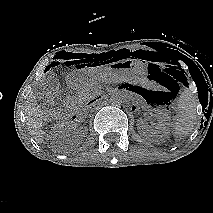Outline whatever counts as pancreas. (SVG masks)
<instances>
[{"instance_id":"pancreas-1","label":"pancreas","mask_w":213,"mask_h":213,"mask_svg":"<svg viewBox=\"0 0 213 213\" xmlns=\"http://www.w3.org/2000/svg\"><path fill=\"white\" fill-rule=\"evenodd\" d=\"M78 93L81 103H86L92 100L99 93L97 90V83L90 82L85 84L79 89Z\"/></svg>"}]
</instances>
